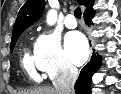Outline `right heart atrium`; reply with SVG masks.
Here are the masks:
<instances>
[{
    "mask_svg": "<svg viewBox=\"0 0 121 94\" xmlns=\"http://www.w3.org/2000/svg\"><path fill=\"white\" fill-rule=\"evenodd\" d=\"M37 68L51 79L72 77L77 69L62 49L58 35L45 31L34 44Z\"/></svg>",
    "mask_w": 121,
    "mask_h": 94,
    "instance_id": "1",
    "label": "right heart atrium"
}]
</instances>
